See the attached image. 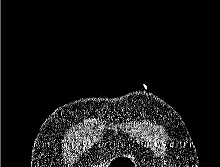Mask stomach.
<instances>
[{
  "label": "stomach",
  "instance_id": "1",
  "mask_svg": "<svg viewBox=\"0 0 220 167\" xmlns=\"http://www.w3.org/2000/svg\"><path fill=\"white\" fill-rule=\"evenodd\" d=\"M108 167H137V161L132 155H117L110 160Z\"/></svg>",
  "mask_w": 220,
  "mask_h": 167
}]
</instances>
